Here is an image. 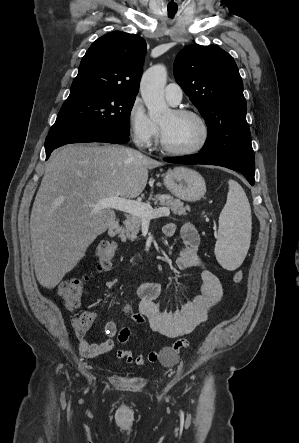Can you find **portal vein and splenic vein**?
<instances>
[{
	"instance_id": "18ae733b",
	"label": "portal vein and splenic vein",
	"mask_w": 299,
	"mask_h": 443,
	"mask_svg": "<svg viewBox=\"0 0 299 443\" xmlns=\"http://www.w3.org/2000/svg\"><path fill=\"white\" fill-rule=\"evenodd\" d=\"M96 208L119 210L139 216L142 220H151L170 215V210L166 207L153 209L149 204L121 198L119 196L100 199L96 204Z\"/></svg>"
}]
</instances>
